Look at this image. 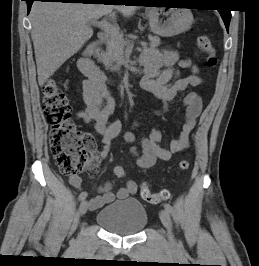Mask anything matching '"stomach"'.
Listing matches in <instances>:
<instances>
[{"label": "stomach", "instance_id": "0dacf381", "mask_svg": "<svg viewBox=\"0 0 259 266\" xmlns=\"http://www.w3.org/2000/svg\"><path fill=\"white\" fill-rule=\"evenodd\" d=\"M151 31L158 36L171 37L188 31L194 18L187 8H152L147 13Z\"/></svg>", "mask_w": 259, "mask_h": 266}]
</instances>
